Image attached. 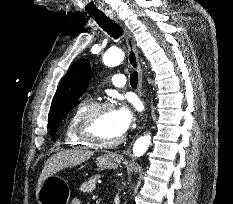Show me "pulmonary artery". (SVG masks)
<instances>
[{
  "mask_svg": "<svg viewBox=\"0 0 233 204\" xmlns=\"http://www.w3.org/2000/svg\"><path fill=\"white\" fill-rule=\"evenodd\" d=\"M112 83L116 87H124L126 84V78L123 74H115L112 76Z\"/></svg>",
  "mask_w": 233,
  "mask_h": 204,
  "instance_id": "1",
  "label": "pulmonary artery"
}]
</instances>
